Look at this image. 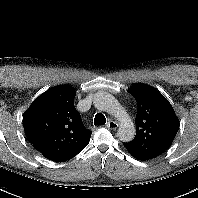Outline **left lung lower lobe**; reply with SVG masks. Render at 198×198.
<instances>
[{
  "label": "left lung lower lobe",
  "instance_id": "obj_1",
  "mask_svg": "<svg viewBox=\"0 0 198 198\" xmlns=\"http://www.w3.org/2000/svg\"><path fill=\"white\" fill-rule=\"evenodd\" d=\"M126 149L129 151V153L136 159L138 160H142V161H145V160H149V159H152V158H155L157 156L155 155H151V154H146V153H143V152H139V151H136L134 149H131V148H128L126 147Z\"/></svg>",
  "mask_w": 198,
  "mask_h": 198
}]
</instances>
